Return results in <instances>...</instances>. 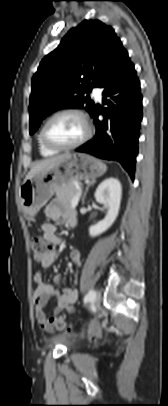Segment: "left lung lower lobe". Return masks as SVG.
Segmentation results:
<instances>
[{
	"label": "left lung lower lobe",
	"mask_w": 168,
	"mask_h": 406,
	"mask_svg": "<svg viewBox=\"0 0 168 406\" xmlns=\"http://www.w3.org/2000/svg\"><path fill=\"white\" fill-rule=\"evenodd\" d=\"M98 87L104 89L103 104H107L108 108L103 110L96 105L91 115L96 135L76 151L117 160L133 179L142 120V96L134 65L125 49L119 53ZM100 114L105 118L103 121L98 119Z\"/></svg>",
	"instance_id": "left-lung-lower-lobe-1"
}]
</instances>
